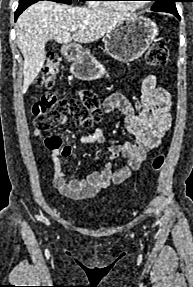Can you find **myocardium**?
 I'll use <instances>...</instances> for the list:
<instances>
[{"label":"myocardium","instance_id":"obj_1","mask_svg":"<svg viewBox=\"0 0 193 287\" xmlns=\"http://www.w3.org/2000/svg\"><path fill=\"white\" fill-rule=\"evenodd\" d=\"M131 7H132V8H139L138 5H132Z\"/></svg>","mask_w":193,"mask_h":287}]
</instances>
